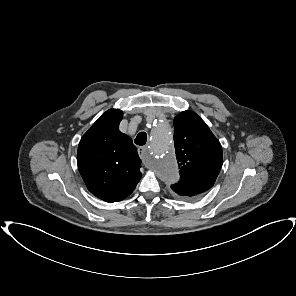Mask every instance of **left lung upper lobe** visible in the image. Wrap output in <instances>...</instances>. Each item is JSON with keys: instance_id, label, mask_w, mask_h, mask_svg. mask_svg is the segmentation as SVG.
<instances>
[{"instance_id": "1", "label": "left lung upper lobe", "mask_w": 296, "mask_h": 296, "mask_svg": "<svg viewBox=\"0 0 296 296\" xmlns=\"http://www.w3.org/2000/svg\"><path fill=\"white\" fill-rule=\"evenodd\" d=\"M173 124L180 181L171 188L177 198L195 200L214 185L223 164L222 147L193 111L180 113Z\"/></svg>"}]
</instances>
